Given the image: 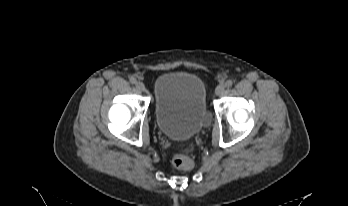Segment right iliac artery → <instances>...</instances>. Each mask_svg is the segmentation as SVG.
<instances>
[{
  "mask_svg": "<svg viewBox=\"0 0 348 206\" xmlns=\"http://www.w3.org/2000/svg\"><path fill=\"white\" fill-rule=\"evenodd\" d=\"M130 82H131L132 84H135V83L137 82V80H136L135 77H131V78H130Z\"/></svg>",
  "mask_w": 348,
  "mask_h": 206,
  "instance_id": "right-iliac-artery-1",
  "label": "right iliac artery"
}]
</instances>
